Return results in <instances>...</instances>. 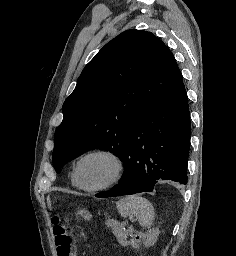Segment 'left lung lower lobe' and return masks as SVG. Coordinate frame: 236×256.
I'll list each match as a JSON object with an SVG mask.
<instances>
[{"instance_id": "0a47b994", "label": "left lung lower lobe", "mask_w": 236, "mask_h": 256, "mask_svg": "<svg viewBox=\"0 0 236 256\" xmlns=\"http://www.w3.org/2000/svg\"><path fill=\"white\" fill-rule=\"evenodd\" d=\"M190 113L183 80L155 102L130 132L120 182L96 197L153 191L159 180L187 183Z\"/></svg>"}]
</instances>
